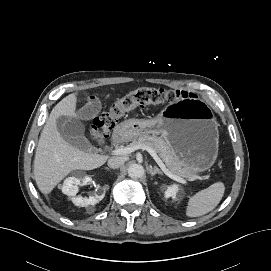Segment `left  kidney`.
<instances>
[{"instance_id": "1", "label": "left kidney", "mask_w": 271, "mask_h": 271, "mask_svg": "<svg viewBox=\"0 0 271 271\" xmlns=\"http://www.w3.org/2000/svg\"><path fill=\"white\" fill-rule=\"evenodd\" d=\"M177 193H178V187L177 185H172L167 188L165 191V197L169 198L172 197L174 200L177 198Z\"/></svg>"}]
</instances>
